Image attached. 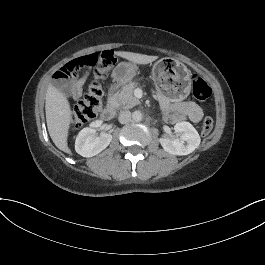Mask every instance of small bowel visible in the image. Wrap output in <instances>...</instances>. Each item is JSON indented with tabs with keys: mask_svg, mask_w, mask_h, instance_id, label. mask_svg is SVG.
<instances>
[{
	"mask_svg": "<svg viewBox=\"0 0 265 265\" xmlns=\"http://www.w3.org/2000/svg\"><path fill=\"white\" fill-rule=\"evenodd\" d=\"M89 77L85 73L72 81L69 87V95L74 99H79L83 92V87ZM173 116L176 118L185 117L193 122H199L203 118V111L199 105L192 101H178L173 105Z\"/></svg>",
	"mask_w": 265,
	"mask_h": 265,
	"instance_id": "obj_1",
	"label": "small bowel"
}]
</instances>
